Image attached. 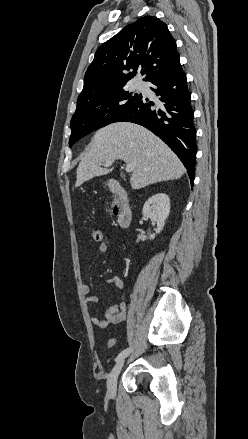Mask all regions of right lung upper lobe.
<instances>
[{
    "label": "right lung upper lobe",
    "instance_id": "cb5924a9",
    "mask_svg": "<svg viewBox=\"0 0 248 439\" xmlns=\"http://www.w3.org/2000/svg\"><path fill=\"white\" fill-rule=\"evenodd\" d=\"M179 58L167 25L153 16L142 17L97 49L77 107L123 88L135 75V71L127 73L129 70L142 68L144 81H151L180 66Z\"/></svg>",
    "mask_w": 248,
    "mask_h": 439
}]
</instances>
